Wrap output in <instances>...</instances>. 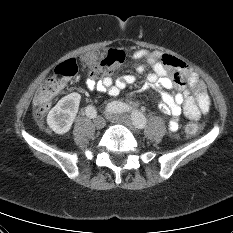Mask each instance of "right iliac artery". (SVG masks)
I'll return each mask as SVG.
<instances>
[{"instance_id":"82829eb1","label":"right iliac artery","mask_w":233,"mask_h":233,"mask_svg":"<svg viewBox=\"0 0 233 233\" xmlns=\"http://www.w3.org/2000/svg\"><path fill=\"white\" fill-rule=\"evenodd\" d=\"M85 112L89 118H95L97 115V112L92 105L87 106Z\"/></svg>"}]
</instances>
